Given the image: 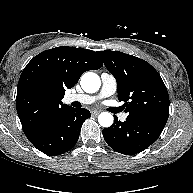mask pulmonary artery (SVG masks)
Returning a JSON list of instances; mask_svg holds the SVG:
<instances>
[{
    "label": "pulmonary artery",
    "mask_w": 193,
    "mask_h": 193,
    "mask_svg": "<svg viewBox=\"0 0 193 193\" xmlns=\"http://www.w3.org/2000/svg\"><path fill=\"white\" fill-rule=\"evenodd\" d=\"M117 89V81L115 77L107 72L101 74V89L95 95H87V94H70L66 96V102H79L81 104H92L102 98L109 97L115 93ZM120 120L125 121L127 115L125 113H121L119 115Z\"/></svg>",
    "instance_id": "pulmonary-artery-1"
}]
</instances>
